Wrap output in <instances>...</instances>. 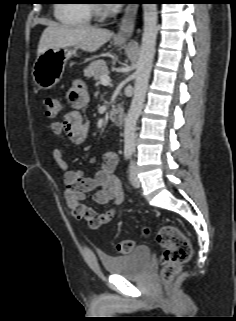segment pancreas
<instances>
[{"instance_id": "1", "label": "pancreas", "mask_w": 236, "mask_h": 321, "mask_svg": "<svg viewBox=\"0 0 236 321\" xmlns=\"http://www.w3.org/2000/svg\"><path fill=\"white\" fill-rule=\"evenodd\" d=\"M108 73V67L104 60L94 61L84 69V75L94 80H99L102 75Z\"/></svg>"}]
</instances>
